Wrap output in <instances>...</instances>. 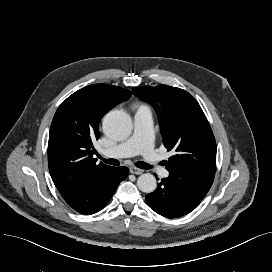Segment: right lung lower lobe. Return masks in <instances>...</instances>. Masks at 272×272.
Listing matches in <instances>:
<instances>
[{"label": "right lung lower lobe", "instance_id": "right-lung-lower-lobe-1", "mask_svg": "<svg viewBox=\"0 0 272 272\" xmlns=\"http://www.w3.org/2000/svg\"><path fill=\"white\" fill-rule=\"evenodd\" d=\"M128 173L129 169L125 166L113 168L105 176L88 184L79 193L65 197V200L73 209L82 214H94L109 202Z\"/></svg>", "mask_w": 272, "mask_h": 272}]
</instances>
